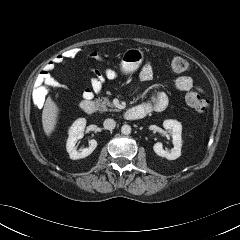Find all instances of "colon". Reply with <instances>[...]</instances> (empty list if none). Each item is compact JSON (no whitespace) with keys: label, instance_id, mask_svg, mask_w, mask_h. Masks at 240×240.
Returning <instances> with one entry per match:
<instances>
[{"label":"colon","instance_id":"5ec220e1","mask_svg":"<svg viewBox=\"0 0 240 240\" xmlns=\"http://www.w3.org/2000/svg\"><path fill=\"white\" fill-rule=\"evenodd\" d=\"M82 55V50L80 48L74 47L65 50L60 53L58 56L63 63L68 61L78 60ZM170 67L175 73H183L189 69V63L182 57H174L171 60ZM45 91L38 90L36 93V100L43 102L45 100ZM186 104L195 110L197 113H204L209 107V103L206 99L202 98L199 93L195 91H190L185 96Z\"/></svg>","mask_w":240,"mask_h":240}]
</instances>
